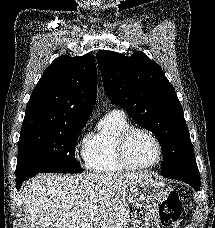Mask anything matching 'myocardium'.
Returning a JSON list of instances; mask_svg holds the SVG:
<instances>
[{"mask_svg": "<svg viewBox=\"0 0 215 228\" xmlns=\"http://www.w3.org/2000/svg\"><path fill=\"white\" fill-rule=\"evenodd\" d=\"M136 132L145 133L146 135H148L150 137V139L155 144L156 149H157V158L153 163L144 165V166H136L131 163V161L128 157L127 146H128V142H129L130 138ZM116 153H117V157H118L120 163L126 169L133 170V171H140V170H149V169H152V168L156 167L157 165H159V163L162 160V156H163V148H162V145H161L159 139L151 130H149L145 127H142V126H130L126 130H124L117 138Z\"/></svg>", "mask_w": 215, "mask_h": 228, "instance_id": "obj_1", "label": "myocardium"}]
</instances>
